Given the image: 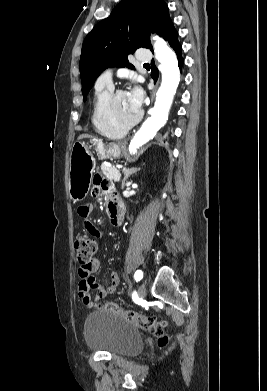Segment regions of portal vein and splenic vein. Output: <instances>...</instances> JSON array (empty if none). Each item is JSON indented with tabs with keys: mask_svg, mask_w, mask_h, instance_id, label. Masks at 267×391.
I'll list each match as a JSON object with an SVG mask.
<instances>
[{
	"mask_svg": "<svg viewBox=\"0 0 267 391\" xmlns=\"http://www.w3.org/2000/svg\"><path fill=\"white\" fill-rule=\"evenodd\" d=\"M117 168H118V169H121V168H122V166H121V165H118V166H117Z\"/></svg>",
	"mask_w": 267,
	"mask_h": 391,
	"instance_id": "obj_1",
	"label": "portal vein and splenic vein"
}]
</instances>
